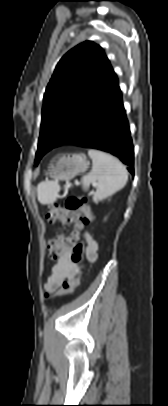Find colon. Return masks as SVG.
<instances>
[{
	"mask_svg": "<svg viewBox=\"0 0 168 406\" xmlns=\"http://www.w3.org/2000/svg\"><path fill=\"white\" fill-rule=\"evenodd\" d=\"M93 213L86 203V199L82 196H70L65 200L64 206H51L45 215V219L49 223L60 222L64 225L75 223L87 225L93 221ZM73 244L71 261L79 264L83 258L84 244L77 241V234L72 233L69 236L58 237L52 239L48 243V251L51 259H58L63 251ZM80 284V276L65 281L58 291L56 296H65L71 294ZM51 292L47 296H52Z\"/></svg>",
	"mask_w": 168,
	"mask_h": 406,
	"instance_id": "obj_1",
	"label": "colon"
}]
</instances>
